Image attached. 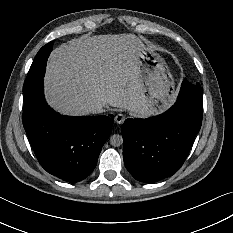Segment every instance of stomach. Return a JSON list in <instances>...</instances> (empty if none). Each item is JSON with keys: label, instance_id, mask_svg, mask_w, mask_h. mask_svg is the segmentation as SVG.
<instances>
[{"label": "stomach", "instance_id": "1", "mask_svg": "<svg viewBox=\"0 0 233 233\" xmlns=\"http://www.w3.org/2000/svg\"><path fill=\"white\" fill-rule=\"evenodd\" d=\"M133 59L140 69L144 95L150 111L157 113L167 108L174 99L172 74L164 59L137 39L133 43Z\"/></svg>", "mask_w": 233, "mask_h": 233}]
</instances>
